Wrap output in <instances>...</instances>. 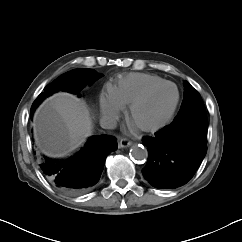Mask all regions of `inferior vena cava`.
<instances>
[{
    "label": "inferior vena cava",
    "instance_id": "inferior-vena-cava-1",
    "mask_svg": "<svg viewBox=\"0 0 242 242\" xmlns=\"http://www.w3.org/2000/svg\"><path fill=\"white\" fill-rule=\"evenodd\" d=\"M100 125L105 129H114L117 126V122L114 118L105 116L100 120Z\"/></svg>",
    "mask_w": 242,
    "mask_h": 242
}]
</instances>
